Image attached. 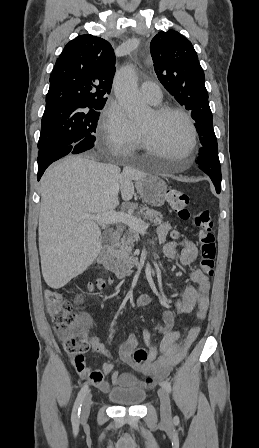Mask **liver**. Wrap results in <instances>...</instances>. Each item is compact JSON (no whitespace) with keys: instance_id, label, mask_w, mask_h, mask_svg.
Wrapping results in <instances>:
<instances>
[{"instance_id":"6515ba94","label":"liver","mask_w":259,"mask_h":448,"mask_svg":"<svg viewBox=\"0 0 259 448\" xmlns=\"http://www.w3.org/2000/svg\"><path fill=\"white\" fill-rule=\"evenodd\" d=\"M129 180L118 166L94 158L67 156L46 170L41 180L39 254L50 288H63L95 262L102 248L101 230L80 214H105L126 200ZM127 202V200H126Z\"/></svg>"}]
</instances>
